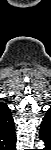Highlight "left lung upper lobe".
Wrapping results in <instances>:
<instances>
[{"mask_svg":"<svg viewBox=\"0 0 51 150\" xmlns=\"http://www.w3.org/2000/svg\"><path fill=\"white\" fill-rule=\"evenodd\" d=\"M40 131L45 137L50 138L51 136V109L47 111L46 116L44 117L41 123Z\"/></svg>","mask_w":51,"mask_h":150,"instance_id":"5c2ea615","label":"left lung upper lobe"}]
</instances>
